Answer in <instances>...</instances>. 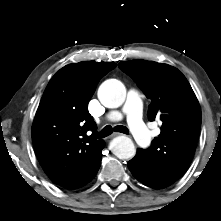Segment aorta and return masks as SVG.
<instances>
[{
	"mask_svg": "<svg viewBox=\"0 0 221 221\" xmlns=\"http://www.w3.org/2000/svg\"><path fill=\"white\" fill-rule=\"evenodd\" d=\"M98 99L107 108L120 107L126 97L124 84L117 79H108L104 81L98 89ZM111 151L119 159H131L136 154L133 141L126 136L116 137L110 145Z\"/></svg>",
	"mask_w": 221,
	"mask_h": 221,
	"instance_id": "obj_1",
	"label": "aorta"
}]
</instances>
